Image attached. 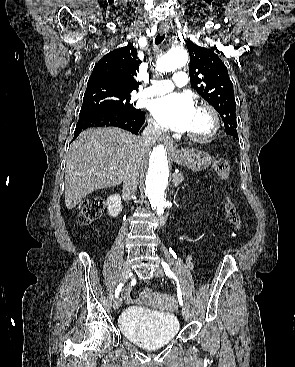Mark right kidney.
Listing matches in <instances>:
<instances>
[{
	"label": "right kidney",
	"mask_w": 295,
	"mask_h": 367,
	"mask_svg": "<svg viewBox=\"0 0 295 367\" xmlns=\"http://www.w3.org/2000/svg\"><path fill=\"white\" fill-rule=\"evenodd\" d=\"M108 214L112 217H117L122 211L121 197L119 194H114L108 197L107 202Z\"/></svg>",
	"instance_id": "right-kidney-1"
}]
</instances>
